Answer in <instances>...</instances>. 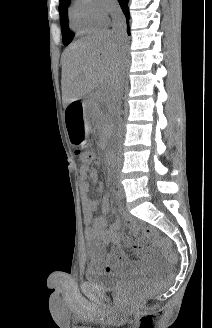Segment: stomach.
Here are the masks:
<instances>
[{
    "label": "stomach",
    "instance_id": "1",
    "mask_svg": "<svg viewBox=\"0 0 212 328\" xmlns=\"http://www.w3.org/2000/svg\"><path fill=\"white\" fill-rule=\"evenodd\" d=\"M82 102H69L65 106L64 116L66 134L70 135L72 146H83L86 135V112Z\"/></svg>",
    "mask_w": 212,
    "mask_h": 328
}]
</instances>
